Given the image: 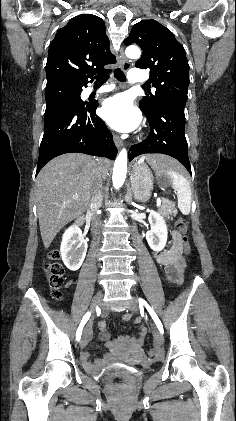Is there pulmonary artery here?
<instances>
[{
  "instance_id": "1",
  "label": "pulmonary artery",
  "mask_w": 236,
  "mask_h": 421,
  "mask_svg": "<svg viewBox=\"0 0 236 421\" xmlns=\"http://www.w3.org/2000/svg\"><path fill=\"white\" fill-rule=\"evenodd\" d=\"M145 75V72L142 71L141 69H131L129 71V81L134 83L136 86H144L145 84L143 83V80L145 79L143 76ZM117 88L116 84L114 83H107L103 86H101L99 89L97 90H88L85 95H88L91 92H95L97 94H102V93H107L110 91H113Z\"/></svg>"
}]
</instances>
